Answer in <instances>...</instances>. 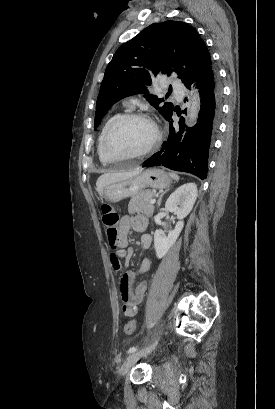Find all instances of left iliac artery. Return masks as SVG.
Masks as SVG:
<instances>
[{
  "mask_svg": "<svg viewBox=\"0 0 275 409\" xmlns=\"http://www.w3.org/2000/svg\"><path fill=\"white\" fill-rule=\"evenodd\" d=\"M153 325H154V324H151V325H150V328L153 327ZM137 350H138L137 347H131V348H129L128 353H133V352H135V351H137Z\"/></svg>",
  "mask_w": 275,
  "mask_h": 409,
  "instance_id": "1",
  "label": "left iliac artery"
}]
</instances>
